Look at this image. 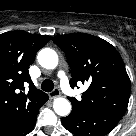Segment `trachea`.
Returning a JSON list of instances; mask_svg holds the SVG:
<instances>
[{"label": "trachea", "mask_w": 136, "mask_h": 136, "mask_svg": "<svg viewBox=\"0 0 136 136\" xmlns=\"http://www.w3.org/2000/svg\"><path fill=\"white\" fill-rule=\"evenodd\" d=\"M41 89L50 92L54 89V83L49 79H45L41 84Z\"/></svg>", "instance_id": "1"}]
</instances>
